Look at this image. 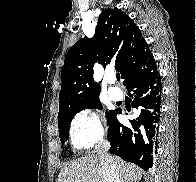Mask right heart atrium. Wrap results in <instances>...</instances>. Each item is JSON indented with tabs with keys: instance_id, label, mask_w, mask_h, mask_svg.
I'll use <instances>...</instances> for the list:
<instances>
[{
	"instance_id": "obj_1",
	"label": "right heart atrium",
	"mask_w": 196,
	"mask_h": 182,
	"mask_svg": "<svg viewBox=\"0 0 196 182\" xmlns=\"http://www.w3.org/2000/svg\"><path fill=\"white\" fill-rule=\"evenodd\" d=\"M104 135V128L98 113L93 109H84L77 113L70 125L71 143L76 148H88Z\"/></svg>"
}]
</instances>
